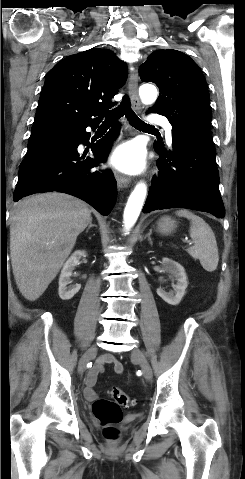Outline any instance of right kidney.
<instances>
[{
	"label": "right kidney",
	"mask_w": 245,
	"mask_h": 479,
	"mask_svg": "<svg viewBox=\"0 0 245 479\" xmlns=\"http://www.w3.org/2000/svg\"><path fill=\"white\" fill-rule=\"evenodd\" d=\"M85 251H75L70 258L66 261L59 277V296L62 300H70L81 288L80 284H76L74 287H67L70 283V277L81 257L85 256Z\"/></svg>",
	"instance_id": "1"
}]
</instances>
